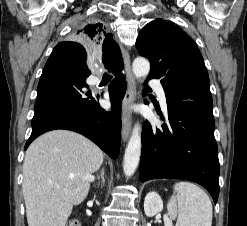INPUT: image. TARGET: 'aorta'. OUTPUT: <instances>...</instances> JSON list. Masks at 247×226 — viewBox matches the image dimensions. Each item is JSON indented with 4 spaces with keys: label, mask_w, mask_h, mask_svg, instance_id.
<instances>
[{
    "label": "aorta",
    "mask_w": 247,
    "mask_h": 226,
    "mask_svg": "<svg viewBox=\"0 0 247 226\" xmlns=\"http://www.w3.org/2000/svg\"><path fill=\"white\" fill-rule=\"evenodd\" d=\"M132 69L137 79L145 78L150 71V63L144 57H137L132 64ZM141 155V128L135 125L132 135L125 150L123 170L126 176L134 174L138 167Z\"/></svg>",
    "instance_id": "1"
}]
</instances>
